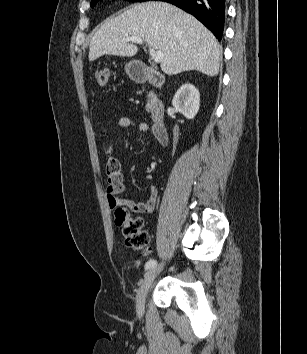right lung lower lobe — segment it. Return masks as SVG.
Wrapping results in <instances>:
<instances>
[{"instance_id":"right-lung-lower-lobe-1","label":"right lung lower lobe","mask_w":307,"mask_h":354,"mask_svg":"<svg viewBox=\"0 0 307 354\" xmlns=\"http://www.w3.org/2000/svg\"><path fill=\"white\" fill-rule=\"evenodd\" d=\"M172 3L195 16L218 40L223 35L225 0H161Z\"/></svg>"}]
</instances>
